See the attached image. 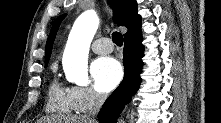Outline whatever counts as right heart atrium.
I'll use <instances>...</instances> for the list:
<instances>
[{
  "mask_svg": "<svg viewBox=\"0 0 221 123\" xmlns=\"http://www.w3.org/2000/svg\"><path fill=\"white\" fill-rule=\"evenodd\" d=\"M73 106L77 112H87L102 104L105 94L92 86H74L70 88Z\"/></svg>",
  "mask_w": 221,
  "mask_h": 123,
  "instance_id": "right-heart-atrium-1",
  "label": "right heart atrium"
}]
</instances>
